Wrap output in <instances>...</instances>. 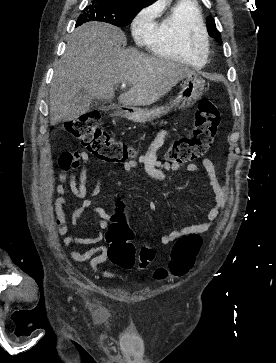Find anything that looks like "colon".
I'll list each match as a JSON object with an SVG mask.
<instances>
[{
    "instance_id": "obj_1",
    "label": "colon",
    "mask_w": 276,
    "mask_h": 363,
    "mask_svg": "<svg viewBox=\"0 0 276 363\" xmlns=\"http://www.w3.org/2000/svg\"><path fill=\"white\" fill-rule=\"evenodd\" d=\"M100 114L88 112L80 117L66 121L64 129L79 139L88 152L110 162H124L134 157V150L115 140L99 127ZM220 113L217 106L209 99L199 102L195 112L193 127L188 134L175 139L166 151V159L172 164L183 165L205 156L217 133ZM108 257L117 266L130 269L136 263L146 268L155 258L152 248L143 245L137 252L133 242L132 230L118 221H114L106 233ZM202 244L201 237L188 234L179 238L171 250L167 267L158 268L154 277L165 279L169 276H185L193 268Z\"/></svg>"
}]
</instances>
